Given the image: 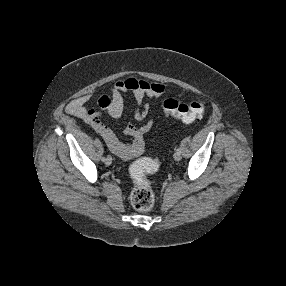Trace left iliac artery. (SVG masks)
<instances>
[{"instance_id": "left-iliac-artery-1", "label": "left iliac artery", "mask_w": 286, "mask_h": 286, "mask_svg": "<svg viewBox=\"0 0 286 286\" xmlns=\"http://www.w3.org/2000/svg\"><path fill=\"white\" fill-rule=\"evenodd\" d=\"M176 151L181 153L180 147H177Z\"/></svg>"}]
</instances>
